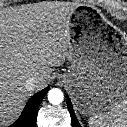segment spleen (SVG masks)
I'll list each match as a JSON object with an SVG mask.
<instances>
[{"instance_id":"1","label":"spleen","mask_w":127,"mask_h":127,"mask_svg":"<svg viewBox=\"0 0 127 127\" xmlns=\"http://www.w3.org/2000/svg\"><path fill=\"white\" fill-rule=\"evenodd\" d=\"M89 127H127V99L116 103L104 114H93L88 120Z\"/></svg>"}]
</instances>
